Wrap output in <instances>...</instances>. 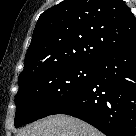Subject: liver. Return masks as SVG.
<instances>
[{"instance_id":"liver-1","label":"liver","mask_w":136,"mask_h":136,"mask_svg":"<svg viewBox=\"0 0 136 136\" xmlns=\"http://www.w3.org/2000/svg\"><path fill=\"white\" fill-rule=\"evenodd\" d=\"M18 136H102L91 125L67 115H53L28 125Z\"/></svg>"}]
</instances>
